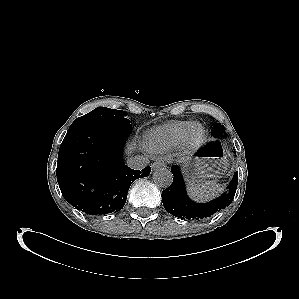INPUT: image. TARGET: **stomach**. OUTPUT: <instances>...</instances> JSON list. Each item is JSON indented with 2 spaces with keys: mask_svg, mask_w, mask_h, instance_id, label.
Listing matches in <instances>:
<instances>
[{
  "mask_svg": "<svg viewBox=\"0 0 299 299\" xmlns=\"http://www.w3.org/2000/svg\"><path fill=\"white\" fill-rule=\"evenodd\" d=\"M227 156L220 142L212 141L202 147L186 169V178L191 185L220 178L227 169Z\"/></svg>",
  "mask_w": 299,
  "mask_h": 299,
  "instance_id": "obj_1",
  "label": "stomach"
}]
</instances>
